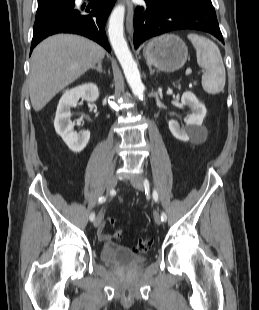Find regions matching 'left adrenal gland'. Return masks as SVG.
I'll return each instance as SVG.
<instances>
[{"instance_id":"obj_1","label":"left adrenal gland","mask_w":259,"mask_h":310,"mask_svg":"<svg viewBox=\"0 0 259 310\" xmlns=\"http://www.w3.org/2000/svg\"><path fill=\"white\" fill-rule=\"evenodd\" d=\"M149 71H150V75H153L155 73V70H152L150 65H149Z\"/></svg>"}]
</instances>
